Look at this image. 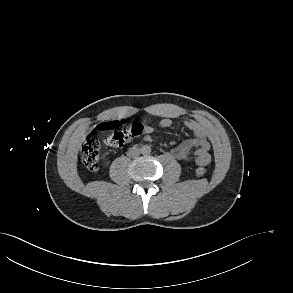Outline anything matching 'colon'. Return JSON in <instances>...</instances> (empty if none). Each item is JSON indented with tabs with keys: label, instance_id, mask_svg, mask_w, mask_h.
Segmentation results:
<instances>
[{
	"label": "colon",
	"instance_id": "colon-1",
	"mask_svg": "<svg viewBox=\"0 0 293 293\" xmlns=\"http://www.w3.org/2000/svg\"><path fill=\"white\" fill-rule=\"evenodd\" d=\"M146 123L127 121H107L99 125L98 131L108 133L105 144L112 147H121L133 139L139 137L146 128ZM100 142L96 139H87L81 148V160L83 164L91 171H96L100 165ZM197 176L206 174V168L199 167L196 169Z\"/></svg>",
	"mask_w": 293,
	"mask_h": 293
}]
</instances>
